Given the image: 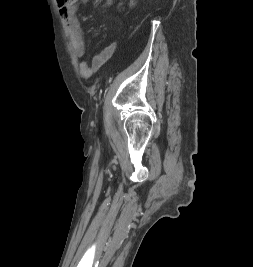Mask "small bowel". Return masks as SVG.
<instances>
[{"label": "small bowel", "mask_w": 253, "mask_h": 267, "mask_svg": "<svg viewBox=\"0 0 253 267\" xmlns=\"http://www.w3.org/2000/svg\"><path fill=\"white\" fill-rule=\"evenodd\" d=\"M85 2L86 0H77V2L69 7L60 6V14L65 22L67 33L70 41V45L74 55L77 58H82L85 54V46L83 39V32L80 27V23L76 17L78 10V2ZM113 0H104L105 5H110ZM116 43H111L105 47L99 54L93 58V66L101 65L105 60H107L115 51ZM81 70H87V64L84 61L80 63Z\"/></svg>", "instance_id": "c3829d8e"}]
</instances>
